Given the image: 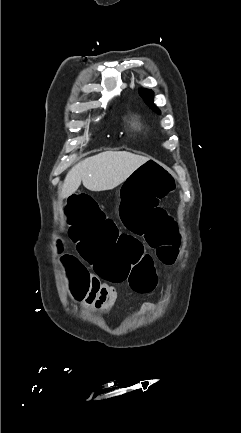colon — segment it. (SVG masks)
<instances>
[{
  "mask_svg": "<svg viewBox=\"0 0 241 433\" xmlns=\"http://www.w3.org/2000/svg\"><path fill=\"white\" fill-rule=\"evenodd\" d=\"M179 182L158 157H147L143 164L136 165V172H131L125 181L118 201L122 225L134 234L119 230L115 220H106L101 205L96 204L89 192L68 193L64 209L69 220L63 225L70 229V239L82 260L66 255L60 263L70 280L72 296L77 299L75 305L82 304L85 292L91 287L90 271L82 261L109 282L129 280L136 292H147L155 286L154 260L137 235L145 236L160 263L171 265L175 262L180 236L177 219L173 212L159 207V201H164L165 195H171Z\"/></svg>",
  "mask_w": 241,
  "mask_h": 433,
  "instance_id": "1",
  "label": "colon"
}]
</instances>
